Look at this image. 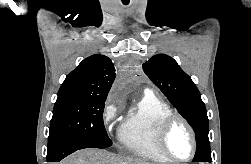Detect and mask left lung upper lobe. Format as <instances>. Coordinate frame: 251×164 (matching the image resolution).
<instances>
[{"label": "left lung upper lobe", "instance_id": "left-lung-upper-lobe-1", "mask_svg": "<svg viewBox=\"0 0 251 164\" xmlns=\"http://www.w3.org/2000/svg\"><path fill=\"white\" fill-rule=\"evenodd\" d=\"M143 70L193 127L197 141L193 162H212L207 112L191 78L173 58L165 54L153 56L143 64Z\"/></svg>", "mask_w": 251, "mask_h": 164}]
</instances>
